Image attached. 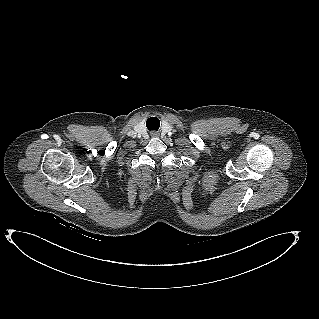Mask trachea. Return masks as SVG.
<instances>
[{
	"mask_svg": "<svg viewBox=\"0 0 319 319\" xmlns=\"http://www.w3.org/2000/svg\"><path fill=\"white\" fill-rule=\"evenodd\" d=\"M146 126L147 128L151 131V130H158L159 126H160V121L158 118L156 117H151L147 120L146 122Z\"/></svg>",
	"mask_w": 319,
	"mask_h": 319,
	"instance_id": "1",
	"label": "trachea"
}]
</instances>
